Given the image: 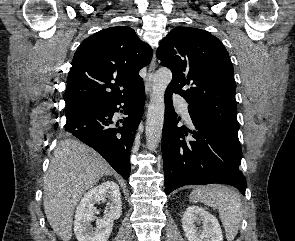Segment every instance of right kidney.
<instances>
[{
	"instance_id": "ca27d5eb",
	"label": "right kidney",
	"mask_w": 295,
	"mask_h": 241,
	"mask_svg": "<svg viewBox=\"0 0 295 241\" xmlns=\"http://www.w3.org/2000/svg\"><path fill=\"white\" fill-rule=\"evenodd\" d=\"M100 201H108L109 208L104 218L94 214V205ZM122 214V202L119 186L113 181H106L91 188L77 206L74 221V232L78 241H107L114 220ZM96 220V227L91 222Z\"/></svg>"
}]
</instances>
